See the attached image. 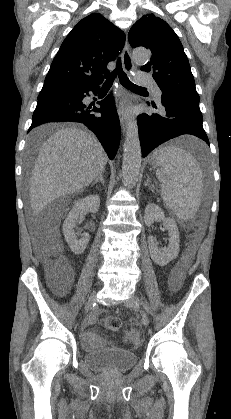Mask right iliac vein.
Returning <instances> with one entry per match:
<instances>
[{"label":"right iliac vein","mask_w":231,"mask_h":419,"mask_svg":"<svg viewBox=\"0 0 231 419\" xmlns=\"http://www.w3.org/2000/svg\"><path fill=\"white\" fill-rule=\"evenodd\" d=\"M95 300H96V295H95V293H92L90 295V297L88 298L87 302H86V305H85V308H84L85 313L88 312L91 309Z\"/></svg>","instance_id":"obj_1"}]
</instances>
